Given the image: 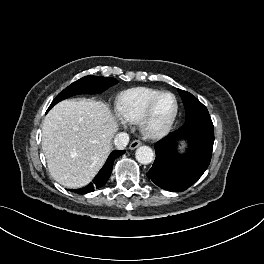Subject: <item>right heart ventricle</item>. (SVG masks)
<instances>
[{"label": "right heart ventricle", "mask_w": 264, "mask_h": 264, "mask_svg": "<svg viewBox=\"0 0 264 264\" xmlns=\"http://www.w3.org/2000/svg\"><path fill=\"white\" fill-rule=\"evenodd\" d=\"M162 91L150 87H135L119 93L115 108L117 115L125 122H138L150 101Z\"/></svg>", "instance_id": "right-heart-ventricle-1"}]
</instances>
